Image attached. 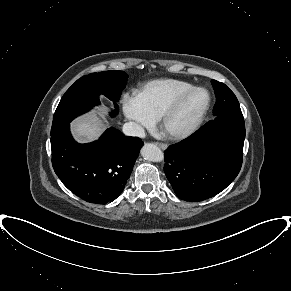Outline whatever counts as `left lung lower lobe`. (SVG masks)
Segmentation results:
<instances>
[{
  "label": "left lung lower lobe",
  "mask_w": 291,
  "mask_h": 291,
  "mask_svg": "<svg viewBox=\"0 0 291 291\" xmlns=\"http://www.w3.org/2000/svg\"><path fill=\"white\" fill-rule=\"evenodd\" d=\"M244 139L243 116L223 114L171 145L164 171L177 197L197 202L225 189L241 169Z\"/></svg>",
  "instance_id": "1"
}]
</instances>
